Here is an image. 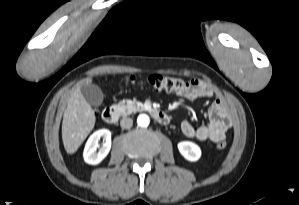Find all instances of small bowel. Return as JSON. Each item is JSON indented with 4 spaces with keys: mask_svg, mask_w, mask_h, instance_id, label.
Returning a JSON list of instances; mask_svg holds the SVG:
<instances>
[{
    "mask_svg": "<svg viewBox=\"0 0 299 205\" xmlns=\"http://www.w3.org/2000/svg\"><path fill=\"white\" fill-rule=\"evenodd\" d=\"M177 94L189 101H196L205 98H211L215 92L210 84L203 80L194 79L188 83V86L178 91ZM209 122L199 127H194L190 122L181 123L182 133L189 138H197L201 141H212L217 143L224 140L227 131L231 127L230 112L226 103L216 98L208 109Z\"/></svg>",
    "mask_w": 299,
    "mask_h": 205,
    "instance_id": "obj_1",
    "label": "small bowel"
}]
</instances>
